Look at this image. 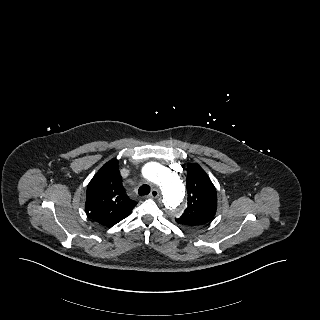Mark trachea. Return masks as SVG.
<instances>
[{
  "mask_svg": "<svg viewBox=\"0 0 320 320\" xmlns=\"http://www.w3.org/2000/svg\"><path fill=\"white\" fill-rule=\"evenodd\" d=\"M150 192V187L146 184L142 185L139 190L138 193L139 195H147Z\"/></svg>",
  "mask_w": 320,
  "mask_h": 320,
  "instance_id": "3493384b",
  "label": "trachea"
}]
</instances>
